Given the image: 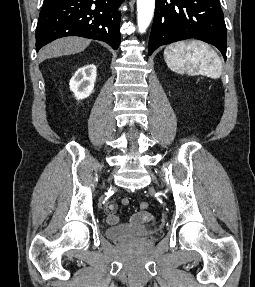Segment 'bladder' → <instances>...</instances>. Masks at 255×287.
<instances>
[{
  "label": "bladder",
  "mask_w": 255,
  "mask_h": 287,
  "mask_svg": "<svg viewBox=\"0 0 255 287\" xmlns=\"http://www.w3.org/2000/svg\"><path fill=\"white\" fill-rule=\"evenodd\" d=\"M155 234V228L149 225L120 224L106 229V235L113 240L145 239Z\"/></svg>",
  "instance_id": "obj_1"
}]
</instances>
